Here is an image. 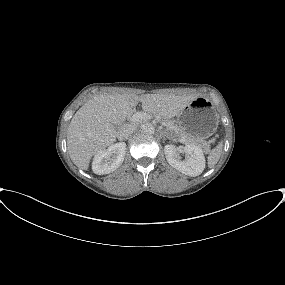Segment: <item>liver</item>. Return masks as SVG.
<instances>
[{"label":"liver","instance_id":"1","mask_svg":"<svg viewBox=\"0 0 285 285\" xmlns=\"http://www.w3.org/2000/svg\"><path fill=\"white\" fill-rule=\"evenodd\" d=\"M197 96L174 94H100L89 99L73 116L67 131V149L72 162L87 170L93 155L113 144L114 124L132 114L138 102L150 115L170 119ZM136 126L135 124H132Z\"/></svg>","mask_w":285,"mask_h":285}]
</instances>
